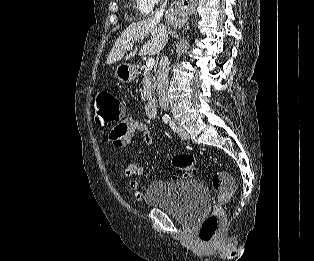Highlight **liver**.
Wrapping results in <instances>:
<instances>
[{"instance_id": "1", "label": "liver", "mask_w": 314, "mask_h": 261, "mask_svg": "<svg viewBox=\"0 0 314 261\" xmlns=\"http://www.w3.org/2000/svg\"><path fill=\"white\" fill-rule=\"evenodd\" d=\"M149 34L151 35V39L143 45L139 54H159L168 41L167 29L164 25L159 24V20L147 18L143 21L132 23L122 32L107 57V64L134 57L137 53V48L127 54V47L132 46L136 41L143 39Z\"/></svg>"}]
</instances>
